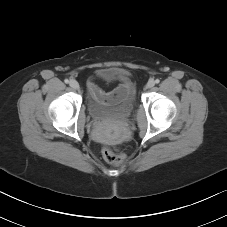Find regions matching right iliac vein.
I'll use <instances>...</instances> for the list:
<instances>
[{
	"mask_svg": "<svg viewBox=\"0 0 227 227\" xmlns=\"http://www.w3.org/2000/svg\"><path fill=\"white\" fill-rule=\"evenodd\" d=\"M69 84H70L71 88H73L75 90L79 89V83L75 79L70 80Z\"/></svg>",
	"mask_w": 227,
	"mask_h": 227,
	"instance_id": "1",
	"label": "right iliac vein"
}]
</instances>
